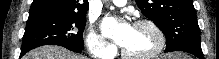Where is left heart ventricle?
<instances>
[{
	"mask_svg": "<svg viewBox=\"0 0 219 59\" xmlns=\"http://www.w3.org/2000/svg\"><path fill=\"white\" fill-rule=\"evenodd\" d=\"M156 43V35L150 28L145 26H134L129 39L123 48L130 54L142 55L153 50Z\"/></svg>",
	"mask_w": 219,
	"mask_h": 59,
	"instance_id": "1",
	"label": "left heart ventricle"
}]
</instances>
